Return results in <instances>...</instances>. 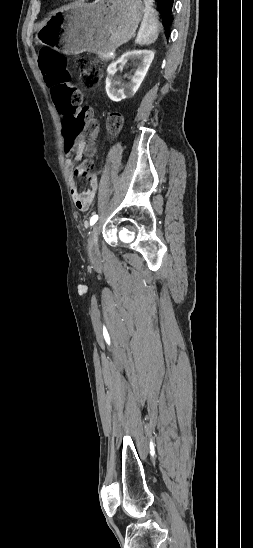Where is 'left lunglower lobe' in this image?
Masks as SVG:
<instances>
[{"label":"left lung lower lobe","instance_id":"left-lung-lower-lobe-1","mask_svg":"<svg viewBox=\"0 0 253 548\" xmlns=\"http://www.w3.org/2000/svg\"><path fill=\"white\" fill-rule=\"evenodd\" d=\"M159 4L160 12L163 15V24L167 32L170 31L172 24V8L174 0H155Z\"/></svg>","mask_w":253,"mask_h":548}]
</instances>
